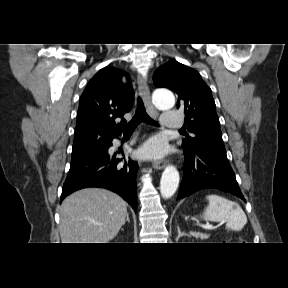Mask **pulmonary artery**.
<instances>
[{
    "instance_id": "obj_1",
    "label": "pulmonary artery",
    "mask_w": 288,
    "mask_h": 288,
    "mask_svg": "<svg viewBox=\"0 0 288 288\" xmlns=\"http://www.w3.org/2000/svg\"><path fill=\"white\" fill-rule=\"evenodd\" d=\"M183 117L176 111H164L162 114V127L169 129H177L182 126Z\"/></svg>"
}]
</instances>
